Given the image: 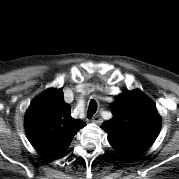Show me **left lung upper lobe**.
I'll list each match as a JSON object with an SVG mask.
<instances>
[{"instance_id": "obj_1", "label": "left lung upper lobe", "mask_w": 179, "mask_h": 179, "mask_svg": "<svg viewBox=\"0 0 179 179\" xmlns=\"http://www.w3.org/2000/svg\"><path fill=\"white\" fill-rule=\"evenodd\" d=\"M113 118L103 129L110 144L144 151L155 141L161 128V118L153 102L140 91H124L111 107Z\"/></svg>"}]
</instances>
